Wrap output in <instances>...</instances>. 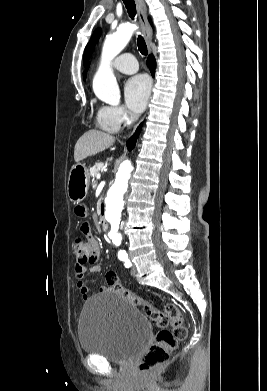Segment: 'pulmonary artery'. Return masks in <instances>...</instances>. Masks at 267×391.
I'll return each instance as SVG.
<instances>
[{"instance_id":"1","label":"pulmonary artery","mask_w":267,"mask_h":391,"mask_svg":"<svg viewBox=\"0 0 267 391\" xmlns=\"http://www.w3.org/2000/svg\"><path fill=\"white\" fill-rule=\"evenodd\" d=\"M112 66L115 70L124 74H133L138 70V62L130 53L119 55L113 62Z\"/></svg>"}]
</instances>
